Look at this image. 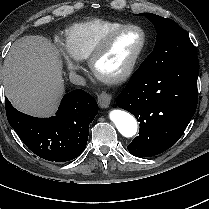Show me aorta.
Wrapping results in <instances>:
<instances>
[{"label":"aorta","instance_id":"obj_1","mask_svg":"<svg viewBox=\"0 0 209 209\" xmlns=\"http://www.w3.org/2000/svg\"><path fill=\"white\" fill-rule=\"evenodd\" d=\"M109 117L124 137L130 138L136 134L137 121L130 113L113 109L110 111Z\"/></svg>","mask_w":209,"mask_h":209}]
</instances>
